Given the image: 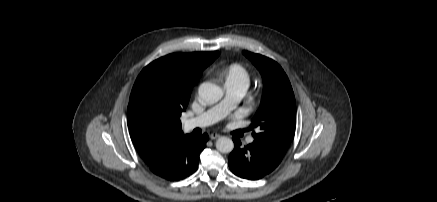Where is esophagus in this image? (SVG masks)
<instances>
[{
    "mask_svg": "<svg viewBox=\"0 0 437 202\" xmlns=\"http://www.w3.org/2000/svg\"><path fill=\"white\" fill-rule=\"evenodd\" d=\"M219 137H220V135L217 134V133H211V134H210V139H211V140L218 139Z\"/></svg>",
    "mask_w": 437,
    "mask_h": 202,
    "instance_id": "1",
    "label": "esophagus"
}]
</instances>
